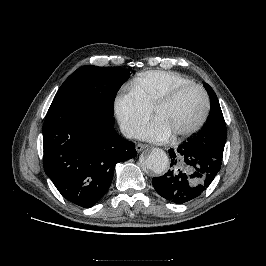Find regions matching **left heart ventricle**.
<instances>
[{"mask_svg": "<svg viewBox=\"0 0 266 266\" xmlns=\"http://www.w3.org/2000/svg\"><path fill=\"white\" fill-rule=\"evenodd\" d=\"M204 110V97L198 89H188L171 104L159 110L155 119L163 122L172 134L194 125Z\"/></svg>", "mask_w": 266, "mask_h": 266, "instance_id": "left-heart-ventricle-1", "label": "left heart ventricle"}]
</instances>
